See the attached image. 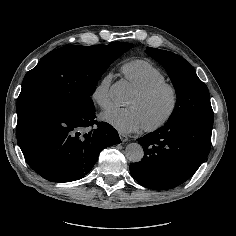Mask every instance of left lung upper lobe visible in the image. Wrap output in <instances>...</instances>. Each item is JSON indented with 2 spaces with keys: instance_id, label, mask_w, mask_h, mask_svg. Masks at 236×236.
I'll use <instances>...</instances> for the list:
<instances>
[{
  "instance_id": "1",
  "label": "left lung upper lobe",
  "mask_w": 236,
  "mask_h": 236,
  "mask_svg": "<svg viewBox=\"0 0 236 236\" xmlns=\"http://www.w3.org/2000/svg\"><path fill=\"white\" fill-rule=\"evenodd\" d=\"M146 52L166 69L177 94L176 107L166 124L186 120L213 122L208 88L193 67L184 58L169 51L147 48Z\"/></svg>"
}]
</instances>
